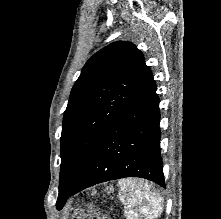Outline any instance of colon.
<instances>
[{"instance_id": "colon-1", "label": "colon", "mask_w": 221, "mask_h": 219, "mask_svg": "<svg viewBox=\"0 0 221 219\" xmlns=\"http://www.w3.org/2000/svg\"><path fill=\"white\" fill-rule=\"evenodd\" d=\"M72 219H111L109 216L101 213L95 206L89 205L84 208L77 209Z\"/></svg>"}]
</instances>
